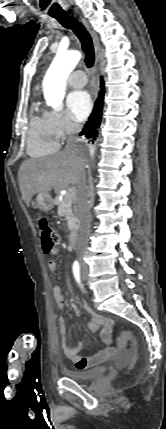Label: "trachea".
<instances>
[{
  "label": "trachea",
  "mask_w": 166,
  "mask_h": 429,
  "mask_svg": "<svg viewBox=\"0 0 166 429\" xmlns=\"http://www.w3.org/2000/svg\"><path fill=\"white\" fill-rule=\"evenodd\" d=\"M50 16L57 19L58 22L65 28L72 30L78 37L81 42L82 50L85 53V63L88 68H91L95 61V53L92 38L84 25L77 19L67 15L64 11L50 13Z\"/></svg>",
  "instance_id": "1"
}]
</instances>
